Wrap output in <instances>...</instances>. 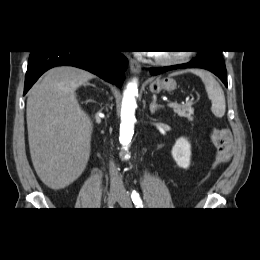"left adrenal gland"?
<instances>
[{"mask_svg":"<svg viewBox=\"0 0 260 260\" xmlns=\"http://www.w3.org/2000/svg\"><path fill=\"white\" fill-rule=\"evenodd\" d=\"M156 101H157V97H156V95H153L152 103L150 104V107H149L151 114H154L155 111H157L160 108H163V106L162 105H158L156 103Z\"/></svg>","mask_w":260,"mask_h":260,"instance_id":"1","label":"left adrenal gland"}]
</instances>
